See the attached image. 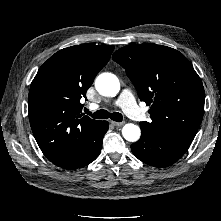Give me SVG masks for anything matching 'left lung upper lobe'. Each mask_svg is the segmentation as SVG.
I'll return each mask as SVG.
<instances>
[{
  "mask_svg": "<svg viewBox=\"0 0 221 221\" xmlns=\"http://www.w3.org/2000/svg\"><path fill=\"white\" fill-rule=\"evenodd\" d=\"M112 58L125 68L140 100L151 105L152 122H140V127L192 142L203 118L205 93L188 59L151 43L128 45Z\"/></svg>",
  "mask_w": 221,
  "mask_h": 221,
  "instance_id": "1",
  "label": "left lung upper lobe"
}]
</instances>
